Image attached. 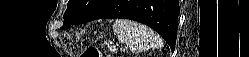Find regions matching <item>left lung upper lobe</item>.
<instances>
[{"instance_id": "1", "label": "left lung upper lobe", "mask_w": 249, "mask_h": 57, "mask_svg": "<svg viewBox=\"0 0 249 57\" xmlns=\"http://www.w3.org/2000/svg\"><path fill=\"white\" fill-rule=\"evenodd\" d=\"M111 0H69L63 16V29L72 24H82L101 12Z\"/></svg>"}]
</instances>
